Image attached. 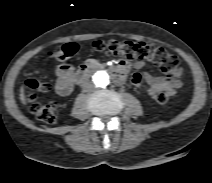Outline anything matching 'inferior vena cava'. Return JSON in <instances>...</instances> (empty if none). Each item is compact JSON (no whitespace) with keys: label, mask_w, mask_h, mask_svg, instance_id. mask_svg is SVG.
<instances>
[{"label":"inferior vena cava","mask_w":212,"mask_h":183,"mask_svg":"<svg viewBox=\"0 0 212 183\" xmlns=\"http://www.w3.org/2000/svg\"><path fill=\"white\" fill-rule=\"evenodd\" d=\"M95 89L92 83L86 82L83 84V91L84 92H92Z\"/></svg>","instance_id":"inferior-vena-cava-1"}]
</instances>
